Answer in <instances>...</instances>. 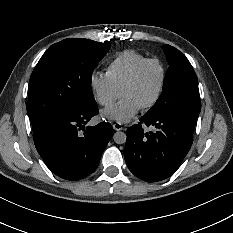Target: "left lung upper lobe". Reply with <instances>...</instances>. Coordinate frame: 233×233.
<instances>
[{"label": "left lung upper lobe", "instance_id": "1", "mask_svg": "<svg viewBox=\"0 0 233 233\" xmlns=\"http://www.w3.org/2000/svg\"><path fill=\"white\" fill-rule=\"evenodd\" d=\"M169 68L163 91L143 116L148 119L189 117L197 119L201 110L197 76L185 55L170 45L163 46Z\"/></svg>", "mask_w": 233, "mask_h": 233}]
</instances>
